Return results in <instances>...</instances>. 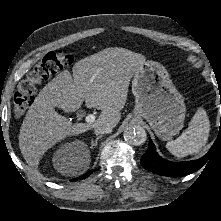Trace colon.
I'll use <instances>...</instances> for the list:
<instances>
[{
	"label": "colon",
	"instance_id": "colon-1",
	"mask_svg": "<svg viewBox=\"0 0 221 221\" xmlns=\"http://www.w3.org/2000/svg\"><path fill=\"white\" fill-rule=\"evenodd\" d=\"M72 62V56L64 51L47 53L18 84L13 96L14 116L22 117L32 105L39 84L50 79Z\"/></svg>",
	"mask_w": 221,
	"mask_h": 221
}]
</instances>
